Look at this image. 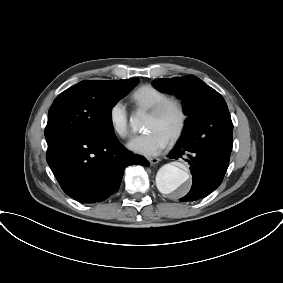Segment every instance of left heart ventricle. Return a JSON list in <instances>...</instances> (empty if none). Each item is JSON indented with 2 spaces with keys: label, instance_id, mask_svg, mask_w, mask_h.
<instances>
[{
  "label": "left heart ventricle",
  "instance_id": "b2bd125f",
  "mask_svg": "<svg viewBox=\"0 0 283 283\" xmlns=\"http://www.w3.org/2000/svg\"><path fill=\"white\" fill-rule=\"evenodd\" d=\"M178 122L179 113L176 108L171 107L160 116L148 114L144 128L146 131L157 130L169 138L177 128Z\"/></svg>",
  "mask_w": 283,
  "mask_h": 283
}]
</instances>
